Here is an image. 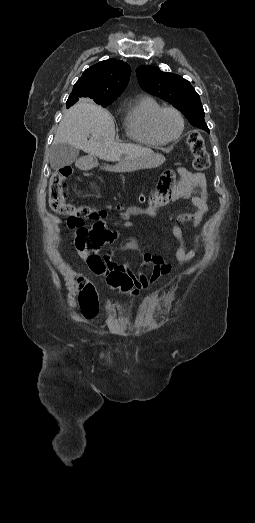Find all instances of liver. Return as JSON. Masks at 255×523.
Listing matches in <instances>:
<instances>
[{"mask_svg":"<svg viewBox=\"0 0 255 523\" xmlns=\"http://www.w3.org/2000/svg\"><path fill=\"white\" fill-rule=\"evenodd\" d=\"M89 134L91 138L87 140ZM115 134V124L109 112L96 106L91 100L81 98L64 114L53 144L66 142L106 162H120L122 156H125V160L148 158L153 168L165 162L164 156L154 154L150 148H142L137 144H118L115 142ZM112 170L118 172L120 164L114 166Z\"/></svg>","mask_w":255,"mask_h":523,"instance_id":"6515ba94","label":"liver"}]
</instances>
